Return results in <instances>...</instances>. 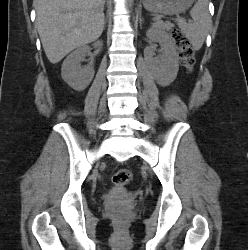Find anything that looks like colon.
Wrapping results in <instances>:
<instances>
[{
  "mask_svg": "<svg viewBox=\"0 0 248 250\" xmlns=\"http://www.w3.org/2000/svg\"><path fill=\"white\" fill-rule=\"evenodd\" d=\"M171 38L174 45L179 50L183 66L187 70H192L196 64V58L195 50L188 38L179 29H173L171 31ZM131 179V172L127 169L117 170L112 176L113 183L119 186L128 185Z\"/></svg>",
  "mask_w": 248,
  "mask_h": 250,
  "instance_id": "5ec220e1",
  "label": "colon"
}]
</instances>
